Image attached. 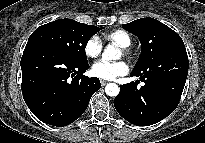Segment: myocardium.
<instances>
[{
  "label": "myocardium",
  "instance_id": "myocardium-1",
  "mask_svg": "<svg viewBox=\"0 0 205 143\" xmlns=\"http://www.w3.org/2000/svg\"><path fill=\"white\" fill-rule=\"evenodd\" d=\"M122 53L123 55L130 57L131 56V52L129 50V48H122Z\"/></svg>",
  "mask_w": 205,
  "mask_h": 143
}]
</instances>
